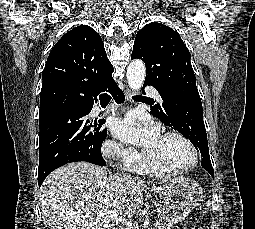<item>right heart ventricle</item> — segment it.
I'll use <instances>...</instances> for the list:
<instances>
[{"label": "right heart ventricle", "mask_w": 255, "mask_h": 229, "mask_svg": "<svg viewBox=\"0 0 255 229\" xmlns=\"http://www.w3.org/2000/svg\"><path fill=\"white\" fill-rule=\"evenodd\" d=\"M125 166L129 171L133 173H137V174H147L152 172H155V173L158 172L154 170L153 168H151L147 163H145L142 158H138Z\"/></svg>", "instance_id": "obj_1"}]
</instances>
